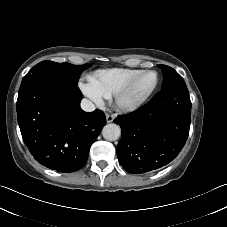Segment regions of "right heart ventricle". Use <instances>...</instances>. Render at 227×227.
<instances>
[{
  "label": "right heart ventricle",
  "mask_w": 227,
  "mask_h": 227,
  "mask_svg": "<svg viewBox=\"0 0 227 227\" xmlns=\"http://www.w3.org/2000/svg\"><path fill=\"white\" fill-rule=\"evenodd\" d=\"M140 71L130 68L98 70L89 77V82L103 97L110 98Z\"/></svg>",
  "instance_id": "obj_1"
}]
</instances>
